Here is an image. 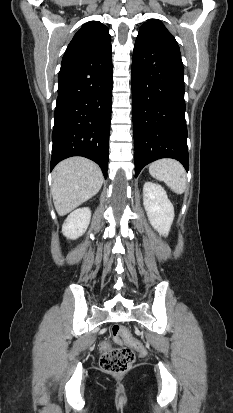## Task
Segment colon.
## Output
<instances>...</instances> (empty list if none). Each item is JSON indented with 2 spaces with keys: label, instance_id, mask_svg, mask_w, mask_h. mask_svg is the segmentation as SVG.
Listing matches in <instances>:
<instances>
[{
  "label": "colon",
  "instance_id": "1",
  "mask_svg": "<svg viewBox=\"0 0 233 413\" xmlns=\"http://www.w3.org/2000/svg\"><path fill=\"white\" fill-rule=\"evenodd\" d=\"M111 334L114 338L127 335L126 330L118 324L111 327ZM100 366L103 371L109 374L121 375L129 371L135 359V351L140 355L146 353L145 347L138 340H131L130 347L114 348L108 341H104L101 346Z\"/></svg>",
  "mask_w": 233,
  "mask_h": 413
}]
</instances>
